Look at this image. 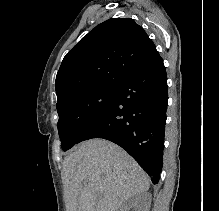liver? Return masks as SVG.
I'll use <instances>...</instances> for the list:
<instances>
[{"label": "liver", "instance_id": "liver-1", "mask_svg": "<svg viewBox=\"0 0 219 211\" xmlns=\"http://www.w3.org/2000/svg\"><path fill=\"white\" fill-rule=\"evenodd\" d=\"M62 179L66 211H119L151 183L125 149L101 137L83 141L64 157Z\"/></svg>", "mask_w": 219, "mask_h": 211}]
</instances>
